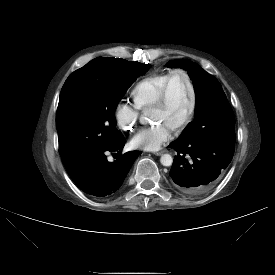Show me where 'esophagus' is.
<instances>
[{
	"label": "esophagus",
	"instance_id": "esophagus-1",
	"mask_svg": "<svg viewBox=\"0 0 275 275\" xmlns=\"http://www.w3.org/2000/svg\"><path fill=\"white\" fill-rule=\"evenodd\" d=\"M166 152V150H162V151H159V152H155L154 154L156 156H161L162 154H164Z\"/></svg>",
	"mask_w": 275,
	"mask_h": 275
}]
</instances>
